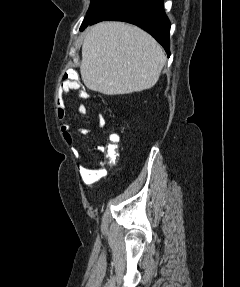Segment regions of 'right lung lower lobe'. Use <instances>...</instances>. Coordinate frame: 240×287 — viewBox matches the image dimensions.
Wrapping results in <instances>:
<instances>
[{"mask_svg":"<svg viewBox=\"0 0 240 287\" xmlns=\"http://www.w3.org/2000/svg\"><path fill=\"white\" fill-rule=\"evenodd\" d=\"M107 20L141 27L164 47L169 56L170 21L164 12L163 0H110L89 25Z\"/></svg>","mask_w":240,"mask_h":287,"instance_id":"98d812e1","label":"right lung lower lobe"}]
</instances>
